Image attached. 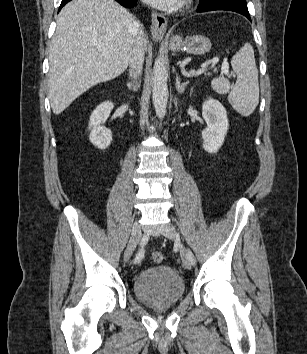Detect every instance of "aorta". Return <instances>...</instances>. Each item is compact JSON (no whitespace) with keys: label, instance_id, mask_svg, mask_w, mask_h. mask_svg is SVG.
I'll list each match as a JSON object with an SVG mask.
<instances>
[{"label":"aorta","instance_id":"aorta-1","mask_svg":"<svg viewBox=\"0 0 307 354\" xmlns=\"http://www.w3.org/2000/svg\"><path fill=\"white\" fill-rule=\"evenodd\" d=\"M153 86H152V99L159 119H163L166 114L168 102V71L166 61L162 57H158L154 62L153 67Z\"/></svg>","mask_w":307,"mask_h":354}]
</instances>
